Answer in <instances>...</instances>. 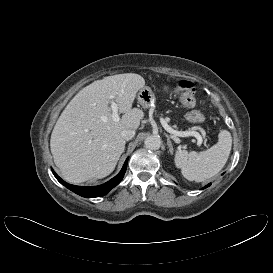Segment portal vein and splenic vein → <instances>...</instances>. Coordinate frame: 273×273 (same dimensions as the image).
<instances>
[{
    "label": "portal vein and splenic vein",
    "mask_w": 273,
    "mask_h": 273,
    "mask_svg": "<svg viewBox=\"0 0 273 273\" xmlns=\"http://www.w3.org/2000/svg\"><path fill=\"white\" fill-rule=\"evenodd\" d=\"M110 98L113 99L114 96H110ZM110 104H111L110 106H111V110H112V119L114 121H118L120 119L119 114H118V106L114 101H111ZM161 124L167 132H169L170 134H173L174 136H179V137L194 136L197 138L198 145H200L203 142L202 137L198 132L176 131V130L172 129L163 119L161 120Z\"/></svg>",
    "instance_id": "obj_1"
}]
</instances>
